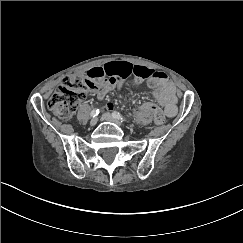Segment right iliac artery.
<instances>
[{
    "mask_svg": "<svg viewBox=\"0 0 243 243\" xmlns=\"http://www.w3.org/2000/svg\"><path fill=\"white\" fill-rule=\"evenodd\" d=\"M100 110L99 109H94L91 111V117H96L99 114Z\"/></svg>",
    "mask_w": 243,
    "mask_h": 243,
    "instance_id": "obj_1",
    "label": "right iliac artery"
}]
</instances>
